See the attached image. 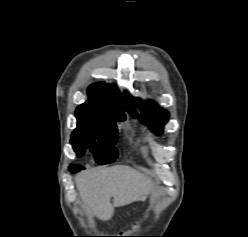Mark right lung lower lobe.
<instances>
[{
	"mask_svg": "<svg viewBox=\"0 0 248 237\" xmlns=\"http://www.w3.org/2000/svg\"><path fill=\"white\" fill-rule=\"evenodd\" d=\"M81 169H83V168H81ZM80 169H77V170H71V172H73V173H76V172H78Z\"/></svg>",
	"mask_w": 248,
	"mask_h": 237,
	"instance_id": "right-lung-lower-lobe-1",
	"label": "right lung lower lobe"
}]
</instances>
